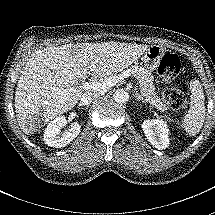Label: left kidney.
<instances>
[{
  "label": "left kidney",
  "instance_id": "1",
  "mask_svg": "<svg viewBox=\"0 0 215 215\" xmlns=\"http://www.w3.org/2000/svg\"><path fill=\"white\" fill-rule=\"evenodd\" d=\"M142 129L150 144L156 149L163 150L169 146V129L163 120H145Z\"/></svg>",
  "mask_w": 215,
  "mask_h": 215
}]
</instances>
